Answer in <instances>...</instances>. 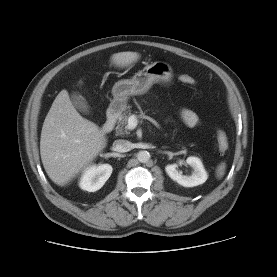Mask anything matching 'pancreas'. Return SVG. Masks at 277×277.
I'll return each instance as SVG.
<instances>
[{
    "label": "pancreas",
    "mask_w": 277,
    "mask_h": 277,
    "mask_svg": "<svg viewBox=\"0 0 277 277\" xmlns=\"http://www.w3.org/2000/svg\"><path fill=\"white\" fill-rule=\"evenodd\" d=\"M130 115H131V110L128 109L119 116L118 125L116 127L117 132L119 134H124V132H127L126 131V128H127L126 125L128 123V118H129Z\"/></svg>",
    "instance_id": "cf45deb5"
}]
</instances>
